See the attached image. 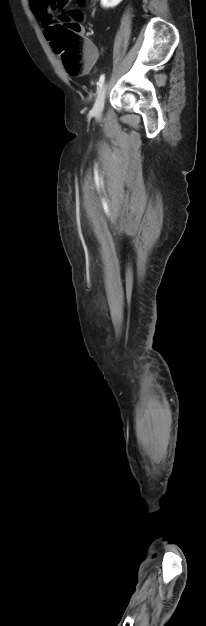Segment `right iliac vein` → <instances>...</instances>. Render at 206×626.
I'll return each mask as SVG.
<instances>
[{
	"label": "right iliac vein",
	"mask_w": 206,
	"mask_h": 626,
	"mask_svg": "<svg viewBox=\"0 0 206 626\" xmlns=\"http://www.w3.org/2000/svg\"><path fill=\"white\" fill-rule=\"evenodd\" d=\"M105 92H106V85L104 84L99 88L96 102L93 108L95 116L97 118H100L103 112L104 102H105Z\"/></svg>",
	"instance_id": "63e3f726"
}]
</instances>
